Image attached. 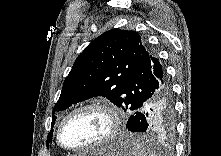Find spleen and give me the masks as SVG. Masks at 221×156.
<instances>
[{"label":"spleen","instance_id":"obj_1","mask_svg":"<svg viewBox=\"0 0 221 156\" xmlns=\"http://www.w3.org/2000/svg\"><path fill=\"white\" fill-rule=\"evenodd\" d=\"M132 156H154L155 153L144 142L143 138L127 140Z\"/></svg>","mask_w":221,"mask_h":156}]
</instances>
